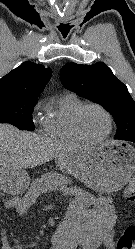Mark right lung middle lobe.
Listing matches in <instances>:
<instances>
[{"label":"right lung middle lobe","mask_w":135,"mask_h":249,"mask_svg":"<svg viewBox=\"0 0 135 249\" xmlns=\"http://www.w3.org/2000/svg\"><path fill=\"white\" fill-rule=\"evenodd\" d=\"M36 98L0 95V122L16 125L19 129L33 131L32 111Z\"/></svg>","instance_id":"right-lung-middle-lobe-1"}]
</instances>
